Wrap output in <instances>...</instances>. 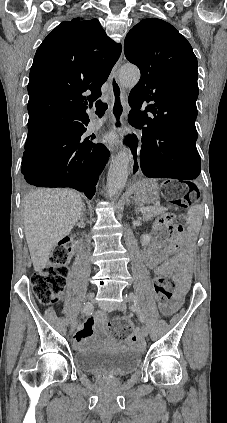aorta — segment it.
Listing matches in <instances>:
<instances>
[{
  "mask_svg": "<svg viewBox=\"0 0 227 423\" xmlns=\"http://www.w3.org/2000/svg\"><path fill=\"white\" fill-rule=\"evenodd\" d=\"M120 82L126 86L135 85L140 78L139 70L134 66H124L119 74ZM130 156L120 152L110 163L107 174V192L109 196H115L122 192L129 174Z\"/></svg>",
  "mask_w": 227,
  "mask_h": 423,
  "instance_id": "1",
  "label": "aorta"
}]
</instances>
